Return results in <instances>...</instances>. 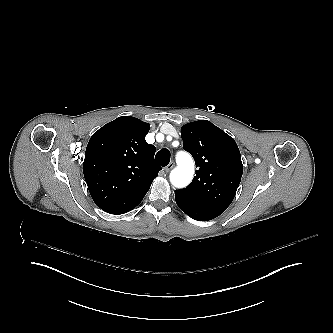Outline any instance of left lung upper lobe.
Segmentation results:
<instances>
[{
	"mask_svg": "<svg viewBox=\"0 0 333 333\" xmlns=\"http://www.w3.org/2000/svg\"><path fill=\"white\" fill-rule=\"evenodd\" d=\"M181 136L198 170L186 188L175 191V198L224 212L235 197L243 173L236 142L207 120L184 125Z\"/></svg>",
	"mask_w": 333,
	"mask_h": 333,
	"instance_id": "left-lung-upper-lobe-1",
	"label": "left lung upper lobe"
}]
</instances>
